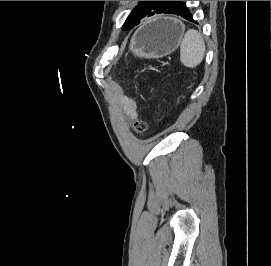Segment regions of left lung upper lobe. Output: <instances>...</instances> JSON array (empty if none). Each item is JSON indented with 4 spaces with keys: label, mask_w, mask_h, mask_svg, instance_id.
<instances>
[{
    "label": "left lung upper lobe",
    "mask_w": 271,
    "mask_h": 266,
    "mask_svg": "<svg viewBox=\"0 0 271 266\" xmlns=\"http://www.w3.org/2000/svg\"><path fill=\"white\" fill-rule=\"evenodd\" d=\"M177 2L178 1H140V3L127 17L122 28L124 30L133 28L151 13L168 12Z\"/></svg>",
    "instance_id": "5c2ea615"
}]
</instances>
